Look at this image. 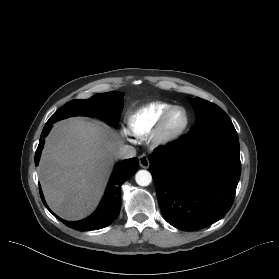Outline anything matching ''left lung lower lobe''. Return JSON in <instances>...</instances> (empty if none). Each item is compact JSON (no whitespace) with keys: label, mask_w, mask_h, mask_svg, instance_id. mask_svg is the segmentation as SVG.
I'll return each instance as SVG.
<instances>
[{"label":"left lung lower lobe","mask_w":279,"mask_h":279,"mask_svg":"<svg viewBox=\"0 0 279 279\" xmlns=\"http://www.w3.org/2000/svg\"><path fill=\"white\" fill-rule=\"evenodd\" d=\"M149 162L160 209L172 226L198 230L229 211L241 172L234 126L192 131L157 148Z\"/></svg>","instance_id":"1"}]
</instances>
